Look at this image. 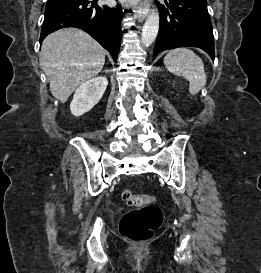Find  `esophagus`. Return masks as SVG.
I'll use <instances>...</instances> for the list:
<instances>
[{"label":"esophagus","mask_w":261,"mask_h":273,"mask_svg":"<svg viewBox=\"0 0 261 273\" xmlns=\"http://www.w3.org/2000/svg\"><path fill=\"white\" fill-rule=\"evenodd\" d=\"M148 10L149 0H144V2H142L135 11L136 18L138 19L139 22H142L146 18Z\"/></svg>","instance_id":"esophagus-1"}]
</instances>
